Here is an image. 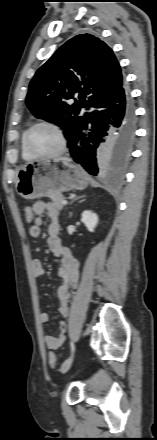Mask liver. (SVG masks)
<instances>
[{
    "mask_svg": "<svg viewBox=\"0 0 157 440\" xmlns=\"http://www.w3.org/2000/svg\"><path fill=\"white\" fill-rule=\"evenodd\" d=\"M61 159L66 160V161H70L68 158H65V157H64V158H61Z\"/></svg>",
    "mask_w": 157,
    "mask_h": 440,
    "instance_id": "1",
    "label": "liver"
}]
</instances>
